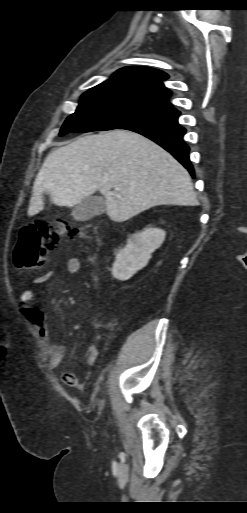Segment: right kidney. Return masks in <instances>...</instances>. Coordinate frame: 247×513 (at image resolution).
Wrapping results in <instances>:
<instances>
[{
    "instance_id": "1",
    "label": "right kidney",
    "mask_w": 247,
    "mask_h": 513,
    "mask_svg": "<svg viewBox=\"0 0 247 513\" xmlns=\"http://www.w3.org/2000/svg\"><path fill=\"white\" fill-rule=\"evenodd\" d=\"M165 236L166 232L158 228H147L130 236L126 246L116 254L112 267L113 277L122 281L127 280L145 267L151 259V254L162 245Z\"/></svg>"
}]
</instances>
